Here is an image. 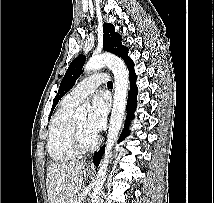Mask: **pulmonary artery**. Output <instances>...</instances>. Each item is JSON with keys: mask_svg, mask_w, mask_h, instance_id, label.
I'll use <instances>...</instances> for the list:
<instances>
[{"mask_svg": "<svg viewBox=\"0 0 214 203\" xmlns=\"http://www.w3.org/2000/svg\"><path fill=\"white\" fill-rule=\"evenodd\" d=\"M107 82V76L104 73L90 75L79 82L67 97L75 103L82 102L90 93L94 92L98 86Z\"/></svg>", "mask_w": 214, "mask_h": 203, "instance_id": "1", "label": "pulmonary artery"}]
</instances>
